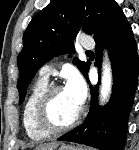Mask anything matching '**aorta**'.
Instances as JSON below:
<instances>
[{
	"mask_svg": "<svg viewBox=\"0 0 139 150\" xmlns=\"http://www.w3.org/2000/svg\"><path fill=\"white\" fill-rule=\"evenodd\" d=\"M112 89V71L111 65L107 57H105L102 65V79L100 88V100L104 104L108 101Z\"/></svg>",
	"mask_w": 139,
	"mask_h": 150,
	"instance_id": "aorta-1",
	"label": "aorta"
}]
</instances>
